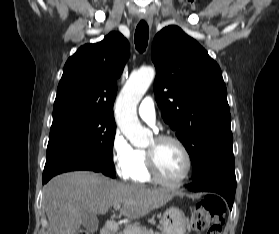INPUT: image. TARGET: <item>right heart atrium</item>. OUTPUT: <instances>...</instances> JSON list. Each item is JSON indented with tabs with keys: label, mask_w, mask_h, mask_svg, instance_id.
Masks as SVG:
<instances>
[{
	"label": "right heart atrium",
	"mask_w": 279,
	"mask_h": 234,
	"mask_svg": "<svg viewBox=\"0 0 279 234\" xmlns=\"http://www.w3.org/2000/svg\"><path fill=\"white\" fill-rule=\"evenodd\" d=\"M134 148L120 129H116L111 139V158L115 172L126 179L133 161Z\"/></svg>",
	"instance_id": "1"
}]
</instances>
